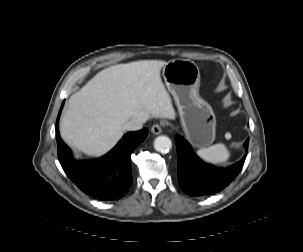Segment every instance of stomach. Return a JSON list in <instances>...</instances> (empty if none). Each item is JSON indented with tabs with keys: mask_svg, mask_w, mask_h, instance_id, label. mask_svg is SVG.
Masks as SVG:
<instances>
[{
	"mask_svg": "<svg viewBox=\"0 0 303 252\" xmlns=\"http://www.w3.org/2000/svg\"><path fill=\"white\" fill-rule=\"evenodd\" d=\"M162 75L176 102L187 139L197 147L211 144L216 118L211 106L199 95L198 66L190 60L174 59L164 65Z\"/></svg>",
	"mask_w": 303,
	"mask_h": 252,
	"instance_id": "0dacf381",
	"label": "stomach"
}]
</instances>
